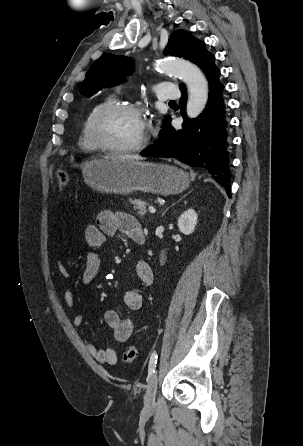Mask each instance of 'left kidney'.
Returning a JSON list of instances; mask_svg holds the SVG:
<instances>
[{"instance_id": "5707ae66", "label": "left kidney", "mask_w": 303, "mask_h": 446, "mask_svg": "<svg viewBox=\"0 0 303 446\" xmlns=\"http://www.w3.org/2000/svg\"><path fill=\"white\" fill-rule=\"evenodd\" d=\"M197 214L193 209H188L180 215L178 219V228L180 232L185 235H190L194 232L197 225Z\"/></svg>"}]
</instances>
